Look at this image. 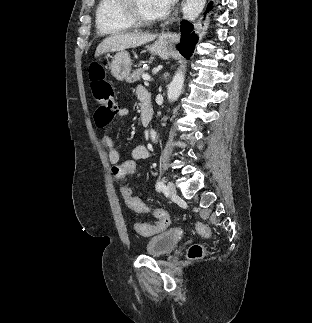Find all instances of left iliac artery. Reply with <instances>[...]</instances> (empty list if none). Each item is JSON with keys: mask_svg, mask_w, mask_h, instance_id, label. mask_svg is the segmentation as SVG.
<instances>
[{"mask_svg": "<svg viewBox=\"0 0 312 323\" xmlns=\"http://www.w3.org/2000/svg\"><path fill=\"white\" fill-rule=\"evenodd\" d=\"M164 187H165V185H164V182L163 181H158L156 183V189L157 190H162Z\"/></svg>", "mask_w": 312, "mask_h": 323, "instance_id": "44dca946", "label": "left iliac artery"}]
</instances>
